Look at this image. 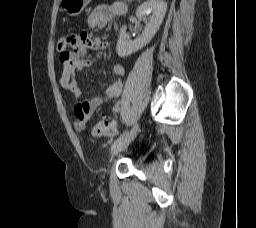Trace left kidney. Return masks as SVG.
<instances>
[{
    "label": "left kidney",
    "mask_w": 256,
    "mask_h": 228,
    "mask_svg": "<svg viewBox=\"0 0 256 228\" xmlns=\"http://www.w3.org/2000/svg\"><path fill=\"white\" fill-rule=\"evenodd\" d=\"M166 11L167 4L163 0H148L141 4L136 10V16L145 22L144 31L132 41L126 34V26H123L117 41L118 56H129L148 44L160 28Z\"/></svg>",
    "instance_id": "5707ae66"
}]
</instances>
